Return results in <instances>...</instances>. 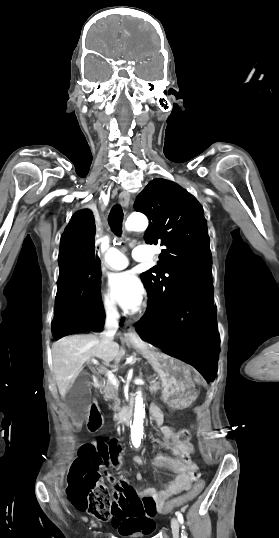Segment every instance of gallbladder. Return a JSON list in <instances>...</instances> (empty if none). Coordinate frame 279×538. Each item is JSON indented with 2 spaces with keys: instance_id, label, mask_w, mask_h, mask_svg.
<instances>
[{
  "instance_id": "gallbladder-1",
  "label": "gallbladder",
  "mask_w": 279,
  "mask_h": 538,
  "mask_svg": "<svg viewBox=\"0 0 279 538\" xmlns=\"http://www.w3.org/2000/svg\"><path fill=\"white\" fill-rule=\"evenodd\" d=\"M90 382V374L80 372L78 378H76L66 394L62 409L64 411L74 410L73 418H82L83 421L89 420V415L85 414V407L83 405H89L91 401L89 396Z\"/></svg>"
}]
</instances>
